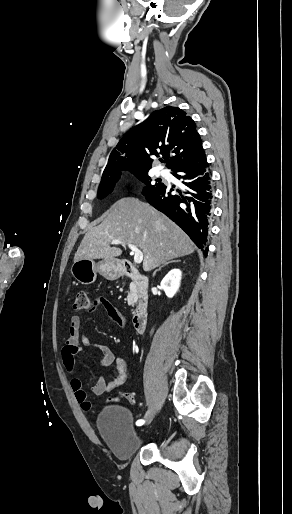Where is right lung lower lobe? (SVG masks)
I'll return each instance as SVG.
<instances>
[{
	"label": "right lung lower lobe",
	"mask_w": 292,
	"mask_h": 514,
	"mask_svg": "<svg viewBox=\"0 0 292 514\" xmlns=\"http://www.w3.org/2000/svg\"><path fill=\"white\" fill-rule=\"evenodd\" d=\"M205 153L173 170L182 179L175 189L162 185L146 194V200L180 226L207 256V235L212 213V182ZM174 191L178 193L175 194Z\"/></svg>",
	"instance_id": "right-lung-lower-lobe-1"
}]
</instances>
